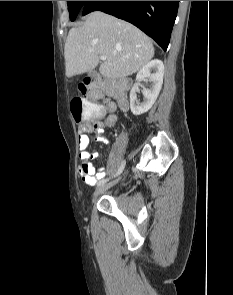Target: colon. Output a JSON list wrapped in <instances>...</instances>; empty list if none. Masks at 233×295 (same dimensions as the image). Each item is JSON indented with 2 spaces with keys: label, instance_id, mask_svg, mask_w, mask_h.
Wrapping results in <instances>:
<instances>
[{
  "label": "colon",
  "instance_id": "colon-1",
  "mask_svg": "<svg viewBox=\"0 0 233 295\" xmlns=\"http://www.w3.org/2000/svg\"><path fill=\"white\" fill-rule=\"evenodd\" d=\"M127 82L110 78L89 76L79 85L82 97L74 98L71 102V112L77 122L95 117L100 107L94 102L104 94H118L125 91Z\"/></svg>",
  "mask_w": 233,
  "mask_h": 295
}]
</instances>
